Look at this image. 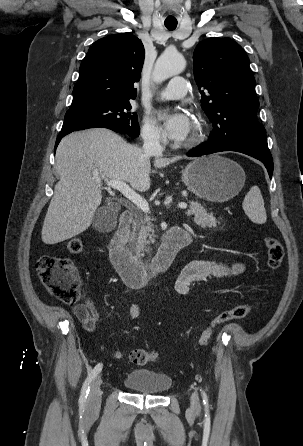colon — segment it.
<instances>
[{
  "label": "colon",
  "instance_id": "obj_1",
  "mask_svg": "<svg viewBox=\"0 0 303 446\" xmlns=\"http://www.w3.org/2000/svg\"><path fill=\"white\" fill-rule=\"evenodd\" d=\"M267 248V265L271 271L277 270L284 257L281 242L274 237L264 239ZM84 245L80 238H72L67 242L70 254H80ZM38 276L48 292L66 304L77 303L80 299L81 281L74 263L68 258L43 256L36 263ZM258 306L257 302L238 305L231 310L222 312L201 333L198 344L203 347L208 344L215 330L220 325L232 320L246 317ZM158 354L146 349H135L129 354V359L136 365H146L156 361Z\"/></svg>",
  "mask_w": 303,
  "mask_h": 446
}]
</instances>
